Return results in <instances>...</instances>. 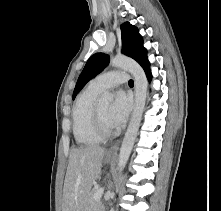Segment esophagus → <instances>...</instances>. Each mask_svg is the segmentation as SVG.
Returning a JSON list of instances; mask_svg holds the SVG:
<instances>
[{
  "instance_id": "1",
  "label": "esophagus",
  "mask_w": 221,
  "mask_h": 211,
  "mask_svg": "<svg viewBox=\"0 0 221 211\" xmlns=\"http://www.w3.org/2000/svg\"><path fill=\"white\" fill-rule=\"evenodd\" d=\"M118 147H119V142L114 144L113 146H111L110 149L108 150V153L109 154H115Z\"/></svg>"
}]
</instances>
